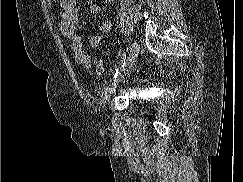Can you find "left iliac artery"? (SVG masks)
I'll list each match as a JSON object with an SVG mask.
<instances>
[{"label":"left iliac artery","instance_id":"44dca946","mask_svg":"<svg viewBox=\"0 0 243 182\" xmlns=\"http://www.w3.org/2000/svg\"><path fill=\"white\" fill-rule=\"evenodd\" d=\"M126 56H127L126 53H124V54H123L122 61H121V64H120L119 68H117L116 71H115L114 79H113L114 81H115V79L117 78L118 74L120 73L121 69H122V68L124 67V65H125Z\"/></svg>","mask_w":243,"mask_h":182}]
</instances>
